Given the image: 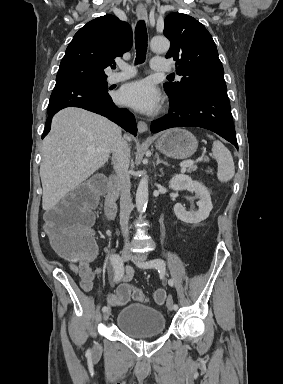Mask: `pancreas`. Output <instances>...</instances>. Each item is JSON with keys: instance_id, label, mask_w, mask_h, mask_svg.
Instances as JSON below:
<instances>
[{"instance_id": "1", "label": "pancreas", "mask_w": 283, "mask_h": 384, "mask_svg": "<svg viewBox=\"0 0 283 384\" xmlns=\"http://www.w3.org/2000/svg\"><path fill=\"white\" fill-rule=\"evenodd\" d=\"M197 170V166H188L187 172H195Z\"/></svg>"}]
</instances>
